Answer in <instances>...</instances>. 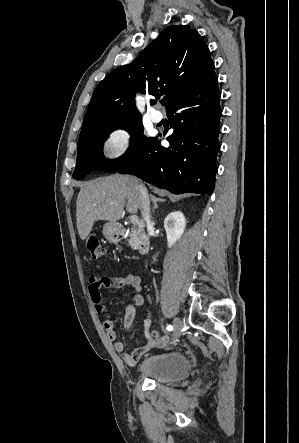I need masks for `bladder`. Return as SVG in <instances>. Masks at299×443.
Wrapping results in <instances>:
<instances>
[{
	"instance_id": "bladder-1",
	"label": "bladder",
	"mask_w": 299,
	"mask_h": 443,
	"mask_svg": "<svg viewBox=\"0 0 299 443\" xmlns=\"http://www.w3.org/2000/svg\"><path fill=\"white\" fill-rule=\"evenodd\" d=\"M191 370L187 356L180 352L156 353L145 357L138 365L141 376L159 383H173L186 377Z\"/></svg>"
}]
</instances>
